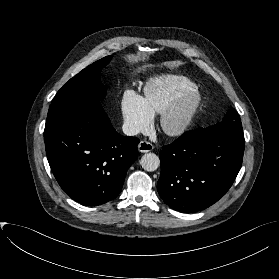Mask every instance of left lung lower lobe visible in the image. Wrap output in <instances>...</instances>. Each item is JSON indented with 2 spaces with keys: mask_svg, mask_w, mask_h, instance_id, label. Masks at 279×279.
Segmentation results:
<instances>
[{
  "mask_svg": "<svg viewBox=\"0 0 279 279\" xmlns=\"http://www.w3.org/2000/svg\"><path fill=\"white\" fill-rule=\"evenodd\" d=\"M245 141L227 132H185L160 151L157 189L179 212H197L216 203L231 187L242 165Z\"/></svg>",
  "mask_w": 279,
  "mask_h": 279,
  "instance_id": "left-lung-lower-lobe-1",
  "label": "left lung lower lobe"
}]
</instances>
